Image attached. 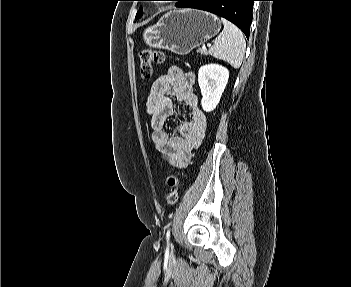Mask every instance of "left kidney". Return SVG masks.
<instances>
[{
    "label": "left kidney",
    "instance_id": "obj_1",
    "mask_svg": "<svg viewBox=\"0 0 351 287\" xmlns=\"http://www.w3.org/2000/svg\"><path fill=\"white\" fill-rule=\"evenodd\" d=\"M229 71L219 64H208L200 67L198 83L201 89V106L204 111L211 112L218 105L227 85Z\"/></svg>",
    "mask_w": 351,
    "mask_h": 287
}]
</instances>
